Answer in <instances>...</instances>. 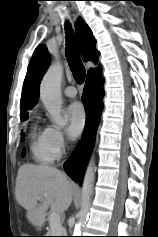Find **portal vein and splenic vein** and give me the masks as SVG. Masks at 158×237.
I'll list each match as a JSON object with an SVG mask.
<instances>
[{"label":"portal vein and splenic vein","mask_w":158,"mask_h":237,"mask_svg":"<svg viewBox=\"0 0 158 237\" xmlns=\"http://www.w3.org/2000/svg\"><path fill=\"white\" fill-rule=\"evenodd\" d=\"M46 196V195H44ZM38 199H41V197H38ZM50 226L54 229L61 226V220L60 215L57 212H52L50 215Z\"/></svg>","instance_id":"1"}]
</instances>
